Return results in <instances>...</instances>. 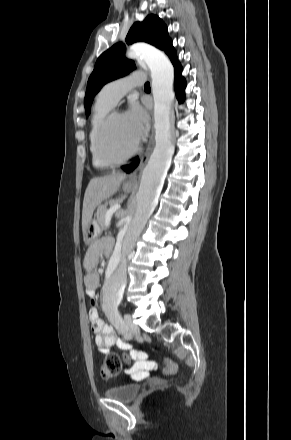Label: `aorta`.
<instances>
[{
  "label": "aorta",
  "mask_w": 291,
  "mask_h": 440,
  "mask_svg": "<svg viewBox=\"0 0 291 440\" xmlns=\"http://www.w3.org/2000/svg\"><path fill=\"white\" fill-rule=\"evenodd\" d=\"M127 57L143 60L150 70L156 144L142 172L134 212L124 225L117 241L113 269L103 286V300L114 305L122 299L126 286V256L133 250L137 238L156 207L174 153L171 111L174 100L173 65L164 53L146 44L133 45Z\"/></svg>",
  "instance_id": "obj_1"
}]
</instances>
